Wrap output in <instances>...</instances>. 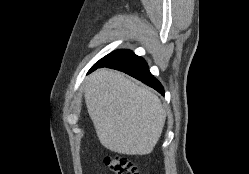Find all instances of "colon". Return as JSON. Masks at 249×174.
Here are the masks:
<instances>
[{
  "instance_id": "1",
  "label": "colon",
  "mask_w": 249,
  "mask_h": 174,
  "mask_svg": "<svg viewBox=\"0 0 249 174\" xmlns=\"http://www.w3.org/2000/svg\"><path fill=\"white\" fill-rule=\"evenodd\" d=\"M104 162L112 174H139L137 167L124 156H106Z\"/></svg>"
}]
</instances>
